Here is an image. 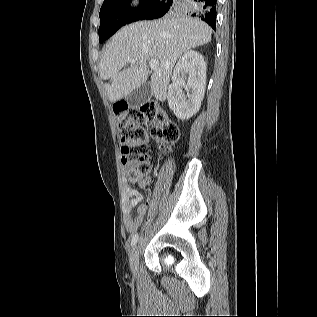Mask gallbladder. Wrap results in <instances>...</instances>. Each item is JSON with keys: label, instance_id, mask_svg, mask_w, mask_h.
Wrapping results in <instances>:
<instances>
[{"label": "gallbladder", "instance_id": "obj_1", "mask_svg": "<svg viewBox=\"0 0 317 317\" xmlns=\"http://www.w3.org/2000/svg\"><path fill=\"white\" fill-rule=\"evenodd\" d=\"M151 94L150 83L146 82L127 97V102L131 107H139L149 101Z\"/></svg>", "mask_w": 317, "mask_h": 317}]
</instances>
